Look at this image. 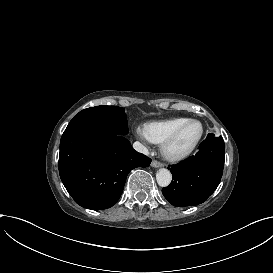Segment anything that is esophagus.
Listing matches in <instances>:
<instances>
[{
  "mask_svg": "<svg viewBox=\"0 0 273 273\" xmlns=\"http://www.w3.org/2000/svg\"><path fill=\"white\" fill-rule=\"evenodd\" d=\"M164 164H162V163H160V162H158V161H152V163H151V166L152 167H155V168H159V167H162Z\"/></svg>",
  "mask_w": 273,
  "mask_h": 273,
  "instance_id": "1",
  "label": "esophagus"
}]
</instances>
